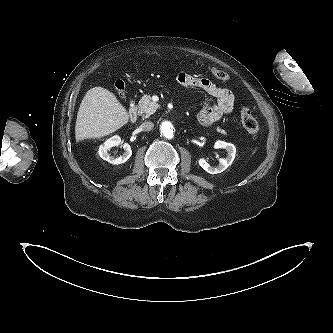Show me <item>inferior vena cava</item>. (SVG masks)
<instances>
[{
  "mask_svg": "<svg viewBox=\"0 0 333 333\" xmlns=\"http://www.w3.org/2000/svg\"><path fill=\"white\" fill-rule=\"evenodd\" d=\"M153 127L154 123L150 121H146L141 124V128L143 129V131H150L153 129Z\"/></svg>",
  "mask_w": 333,
  "mask_h": 333,
  "instance_id": "obj_1",
  "label": "inferior vena cava"
}]
</instances>
